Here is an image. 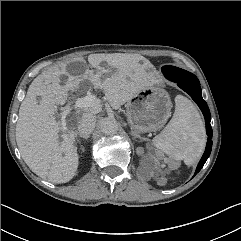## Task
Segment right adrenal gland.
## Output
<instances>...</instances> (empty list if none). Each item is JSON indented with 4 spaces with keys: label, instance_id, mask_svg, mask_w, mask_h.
<instances>
[{
    "label": "right adrenal gland",
    "instance_id": "right-adrenal-gland-1",
    "mask_svg": "<svg viewBox=\"0 0 241 241\" xmlns=\"http://www.w3.org/2000/svg\"><path fill=\"white\" fill-rule=\"evenodd\" d=\"M80 138H83V139H88L90 138V135H82V134H78Z\"/></svg>",
    "mask_w": 241,
    "mask_h": 241
}]
</instances>
